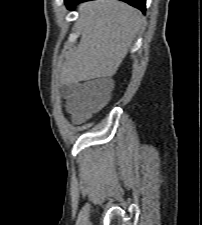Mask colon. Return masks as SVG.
I'll return each mask as SVG.
<instances>
[{
	"label": "colon",
	"mask_w": 202,
	"mask_h": 225,
	"mask_svg": "<svg viewBox=\"0 0 202 225\" xmlns=\"http://www.w3.org/2000/svg\"><path fill=\"white\" fill-rule=\"evenodd\" d=\"M77 90L87 96L91 109H98L109 100L113 87L110 85H102L99 80H95L78 84Z\"/></svg>",
	"instance_id": "5ec220e1"
}]
</instances>
